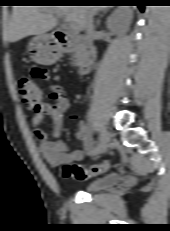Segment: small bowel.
I'll use <instances>...</instances> for the list:
<instances>
[{
	"instance_id": "1",
	"label": "small bowel",
	"mask_w": 170,
	"mask_h": 231,
	"mask_svg": "<svg viewBox=\"0 0 170 231\" xmlns=\"http://www.w3.org/2000/svg\"><path fill=\"white\" fill-rule=\"evenodd\" d=\"M31 77L40 81H49L48 71L42 67H33ZM50 103H41L39 109L33 112L31 119L33 133L39 141V151L50 167H59L61 165L81 161L85 155L93 154L95 142L88 127L81 122L78 127L76 137L83 144V149H76L71 152L67 144L59 137L63 128L62 114L67 110L69 104L65 90L61 85H52L49 93ZM50 117L53 123L52 136L49 139L45 131L39 126L45 117Z\"/></svg>"
}]
</instances>
